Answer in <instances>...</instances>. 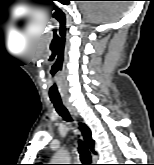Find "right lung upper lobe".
I'll return each instance as SVG.
<instances>
[{"instance_id": "right-lung-upper-lobe-1", "label": "right lung upper lobe", "mask_w": 154, "mask_h": 165, "mask_svg": "<svg viewBox=\"0 0 154 165\" xmlns=\"http://www.w3.org/2000/svg\"><path fill=\"white\" fill-rule=\"evenodd\" d=\"M79 129L81 130V133L83 135V138L85 140V143L88 145L90 150L95 153L94 151V140L91 137V131L90 129L83 123L79 124ZM36 165H43V164H36Z\"/></svg>"}]
</instances>
